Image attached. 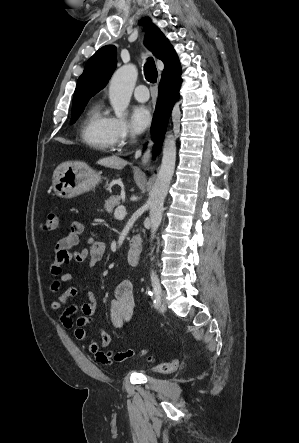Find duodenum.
<instances>
[{"mask_svg":"<svg viewBox=\"0 0 299 443\" xmlns=\"http://www.w3.org/2000/svg\"><path fill=\"white\" fill-rule=\"evenodd\" d=\"M142 253V239L140 236H133L130 240L127 258L131 265H136L139 262Z\"/></svg>","mask_w":299,"mask_h":443,"instance_id":"410a0bca","label":"duodenum"}]
</instances>
